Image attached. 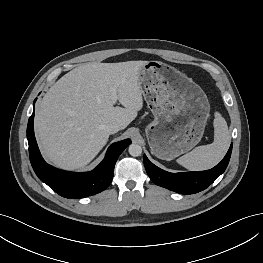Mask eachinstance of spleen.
Masks as SVG:
<instances>
[{
	"instance_id": "1",
	"label": "spleen",
	"mask_w": 263,
	"mask_h": 263,
	"mask_svg": "<svg viewBox=\"0 0 263 263\" xmlns=\"http://www.w3.org/2000/svg\"><path fill=\"white\" fill-rule=\"evenodd\" d=\"M213 126V143L196 147L177 159L178 164L192 171H201L214 167L222 160L229 147L230 135L227 122L219 112L215 113Z\"/></svg>"
}]
</instances>
